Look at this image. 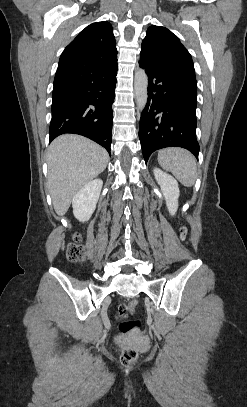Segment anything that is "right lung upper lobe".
Returning a JSON list of instances; mask_svg holds the SVG:
<instances>
[{
  "instance_id": "cb5924a9",
  "label": "right lung upper lobe",
  "mask_w": 247,
  "mask_h": 407,
  "mask_svg": "<svg viewBox=\"0 0 247 407\" xmlns=\"http://www.w3.org/2000/svg\"><path fill=\"white\" fill-rule=\"evenodd\" d=\"M116 61V41L111 24L95 22L82 30L61 54L53 92L69 88L93 70Z\"/></svg>"
}]
</instances>
